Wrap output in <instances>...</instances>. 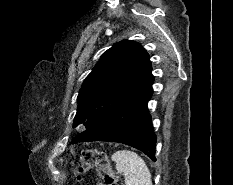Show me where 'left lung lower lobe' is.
<instances>
[{
    "label": "left lung lower lobe",
    "mask_w": 233,
    "mask_h": 185,
    "mask_svg": "<svg viewBox=\"0 0 233 185\" xmlns=\"http://www.w3.org/2000/svg\"><path fill=\"white\" fill-rule=\"evenodd\" d=\"M153 81L154 77L149 72L126 90L93 127L75 137L72 143L83 141L123 143L144 152L156 161V135L147 108L153 93Z\"/></svg>",
    "instance_id": "1"
}]
</instances>
